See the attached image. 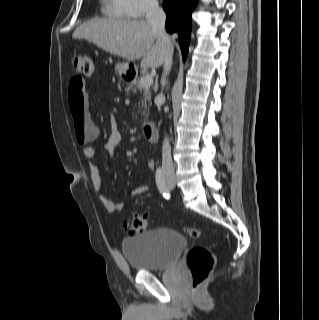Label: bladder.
Returning <instances> with one entry per match:
<instances>
[{"mask_svg":"<svg viewBox=\"0 0 319 320\" xmlns=\"http://www.w3.org/2000/svg\"><path fill=\"white\" fill-rule=\"evenodd\" d=\"M186 247L181 232L159 228L125 238L122 253L134 270L154 272L173 266Z\"/></svg>","mask_w":319,"mask_h":320,"instance_id":"obj_1","label":"bladder"}]
</instances>
